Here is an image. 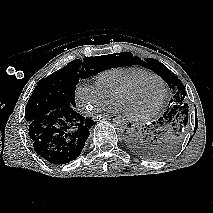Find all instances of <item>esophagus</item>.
I'll use <instances>...</instances> for the list:
<instances>
[{
  "label": "esophagus",
  "mask_w": 213,
  "mask_h": 213,
  "mask_svg": "<svg viewBox=\"0 0 213 213\" xmlns=\"http://www.w3.org/2000/svg\"><path fill=\"white\" fill-rule=\"evenodd\" d=\"M112 117H115V115H108V114L100 115V118H103V119H108V118H112Z\"/></svg>",
  "instance_id": "34e87169"
}]
</instances>
